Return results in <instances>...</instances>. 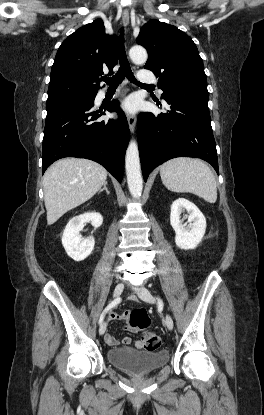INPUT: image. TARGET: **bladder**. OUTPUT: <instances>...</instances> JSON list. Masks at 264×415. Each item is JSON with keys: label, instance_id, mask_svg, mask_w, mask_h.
I'll return each mask as SVG.
<instances>
[{"label": "bladder", "instance_id": "31cf9c89", "mask_svg": "<svg viewBox=\"0 0 264 415\" xmlns=\"http://www.w3.org/2000/svg\"><path fill=\"white\" fill-rule=\"evenodd\" d=\"M106 357L113 367L138 375L164 366L168 362L169 352L167 349L149 351L123 347L108 350Z\"/></svg>", "mask_w": 264, "mask_h": 415}]
</instances>
